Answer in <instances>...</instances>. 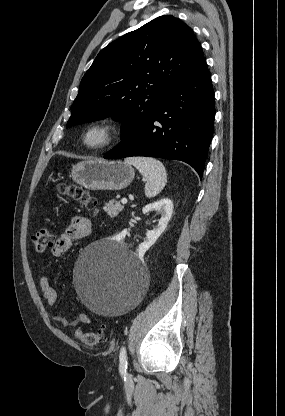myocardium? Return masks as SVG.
Returning a JSON list of instances; mask_svg holds the SVG:
<instances>
[{
	"label": "myocardium",
	"mask_w": 285,
	"mask_h": 416,
	"mask_svg": "<svg viewBox=\"0 0 285 416\" xmlns=\"http://www.w3.org/2000/svg\"><path fill=\"white\" fill-rule=\"evenodd\" d=\"M94 132L100 134L101 140L98 144L90 145L87 143V140ZM117 136V129L111 122L107 120H96L85 126L81 132L79 141L85 151L97 153L111 147L117 140Z\"/></svg>",
	"instance_id": "obj_1"
}]
</instances>
